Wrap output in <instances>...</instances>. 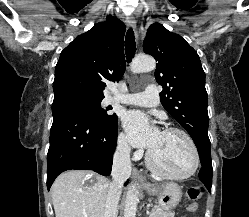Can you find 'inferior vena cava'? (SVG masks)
Instances as JSON below:
<instances>
[{
	"label": "inferior vena cava",
	"mask_w": 249,
	"mask_h": 217,
	"mask_svg": "<svg viewBox=\"0 0 249 217\" xmlns=\"http://www.w3.org/2000/svg\"><path fill=\"white\" fill-rule=\"evenodd\" d=\"M131 174L130 147L125 141L118 143L112 166V182L109 185L104 217H117L124 182Z\"/></svg>",
	"instance_id": "1"
}]
</instances>
